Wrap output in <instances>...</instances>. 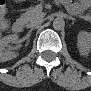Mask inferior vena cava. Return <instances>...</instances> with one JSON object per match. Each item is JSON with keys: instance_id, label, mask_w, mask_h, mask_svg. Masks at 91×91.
<instances>
[{"instance_id": "1", "label": "inferior vena cava", "mask_w": 91, "mask_h": 91, "mask_svg": "<svg viewBox=\"0 0 91 91\" xmlns=\"http://www.w3.org/2000/svg\"><path fill=\"white\" fill-rule=\"evenodd\" d=\"M42 21H43L42 18H39V19L35 20L34 22H31L30 24H28L27 27L28 28H34L35 26L40 24Z\"/></svg>"}]
</instances>
